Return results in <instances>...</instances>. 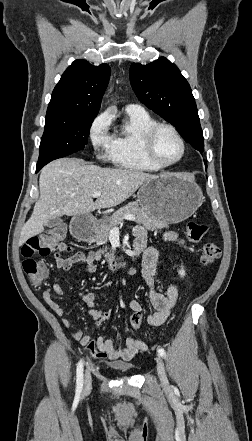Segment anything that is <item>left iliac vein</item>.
<instances>
[{
	"label": "left iliac vein",
	"mask_w": 252,
	"mask_h": 441,
	"mask_svg": "<svg viewBox=\"0 0 252 441\" xmlns=\"http://www.w3.org/2000/svg\"><path fill=\"white\" fill-rule=\"evenodd\" d=\"M156 362H157V373H158V376H159V380H160L162 386H167L168 385V379H167V376H166L164 362H163L162 358L159 357V356L156 358Z\"/></svg>",
	"instance_id": "obj_1"
}]
</instances>
